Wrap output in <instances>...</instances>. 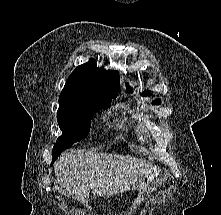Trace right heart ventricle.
Wrapping results in <instances>:
<instances>
[{
    "label": "right heart ventricle",
    "instance_id": "1",
    "mask_svg": "<svg viewBox=\"0 0 221 215\" xmlns=\"http://www.w3.org/2000/svg\"><path fill=\"white\" fill-rule=\"evenodd\" d=\"M126 120H127V116H124V117H122V118L120 119V122H121V123H124Z\"/></svg>",
    "mask_w": 221,
    "mask_h": 215
}]
</instances>
